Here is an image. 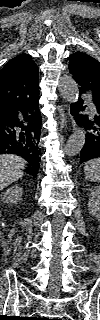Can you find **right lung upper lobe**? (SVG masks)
I'll use <instances>...</instances> for the list:
<instances>
[{"label": "right lung upper lobe", "mask_w": 100, "mask_h": 320, "mask_svg": "<svg viewBox=\"0 0 100 320\" xmlns=\"http://www.w3.org/2000/svg\"><path fill=\"white\" fill-rule=\"evenodd\" d=\"M38 89V67L30 55H18L0 71V110L33 96Z\"/></svg>", "instance_id": "right-lung-upper-lobe-1"}]
</instances>
